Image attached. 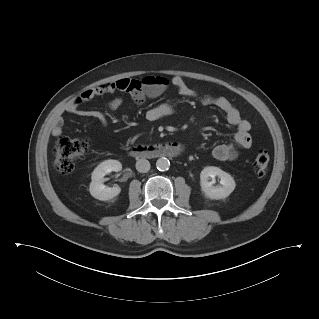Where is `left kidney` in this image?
I'll use <instances>...</instances> for the list:
<instances>
[{"label":"left kidney","instance_id":"obj_1","mask_svg":"<svg viewBox=\"0 0 319 319\" xmlns=\"http://www.w3.org/2000/svg\"><path fill=\"white\" fill-rule=\"evenodd\" d=\"M220 178V186H214L215 177ZM211 180V181H210ZM233 177L218 167H205L200 174V186L204 194L210 199H224L235 189Z\"/></svg>","mask_w":319,"mask_h":319}]
</instances>
